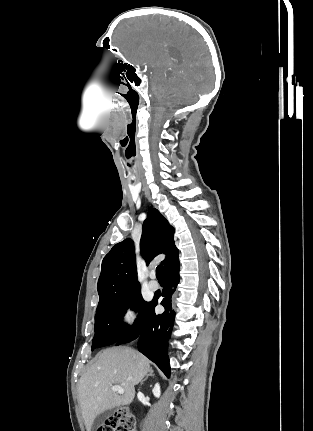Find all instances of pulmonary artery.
Returning <instances> with one entry per match:
<instances>
[{
	"label": "pulmonary artery",
	"mask_w": 313,
	"mask_h": 431,
	"mask_svg": "<svg viewBox=\"0 0 313 431\" xmlns=\"http://www.w3.org/2000/svg\"><path fill=\"white\" fill-rule=\"evenodd\" d=\"M151 278H152V280L149 282L148 286H149V288H150L151 290L155 291V290H157V289L159 288V284H158V282L154 279V278H155L154 273H152V274H151Z\"/></svg>",
	"instance_id": "e3ab8cb5"
}]
</instances>
